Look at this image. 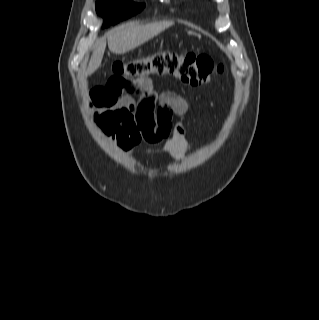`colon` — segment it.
<instances>
[{
	"instance_id": "5ec220e1",
	"label": "colon",
	"mask_w": 319,
	"mask_h": 320,
	"mask_svg": "<svg viewBox=\"0 0 319 320\" xmlns=\"http://www.w3.org/2000/svg\"><path fill=\"white\" fill-rule=\"evenodd\" d=\"M206 55L193 52L162 50L129 62H118L113 66L114 75L109 83L118 87L136 85L153 76L170 75L190 85H204L222 72ZM121 129L130 144L145 142L157 144L171 133L169 126L161 125L151 115H126Z\"/></svg>"
}]
</instances>
